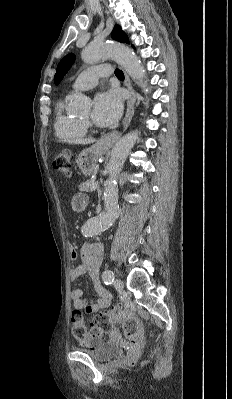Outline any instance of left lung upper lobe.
<instances>
[{
  "mask_svg": "<svg viewBox=\"0 0 232 399\" xmlns=\"http://www.w3.org/2000/svg\"><path fill=\"white\" fill-rule=\"evenodd\" d=\"M111 36L114 40H117L119 42L129 43L127 35L117 25L114 27ZM74 60H75V55L68 54L60 61V63L57 66L56 74L54 77V83L56 85H58L60 81L63 79V76L67 73L71 65L74 63Z\"/></svg>",
  "mask_w": 232,
  "mask_h": 399,
  "instance_id": "5c2ea615",
  "label": "left lung upper lobe"
}]
</instances>
